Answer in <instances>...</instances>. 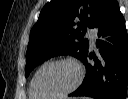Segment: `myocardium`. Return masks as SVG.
Returning a JSON list of instances; mask_svg holds the SVG:
<instances>
[{
	"label": "myocardium",
	"instance_id": "myocardium-1",
	"mask_svg": "<svg viewBox=\"0 0 128 99\" xmlns=\"http://www.w3.org/2000/svg\"><path fill=\"white\" fill-rule=\"evenodd\" d=\"M59 63H69V64H71L75 67V69L77 71V79H76L75 83L71 87L66 89L65 91L57 93V94H53V95L38 94L35 90V82H36V79H37L39 73L43 69H45L46 67L51 66V65H55V64H59ZM83 80H84V71H83V68H82V66L80 65V63L78 61H76L73 58H59V59L49 61V62L43 64L42 66H40L37 69V71L35 72L32 80H31V83H30V91H31L32 95L35 96V97H43V98H46V99L62 98V97L70 95L76 89H78V87L82 84Z\"/></svg>",
	"mask_w": 128,
	"mask_h": 99
}]
</instances>
